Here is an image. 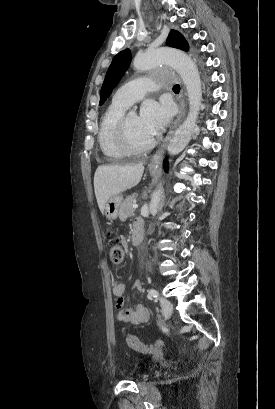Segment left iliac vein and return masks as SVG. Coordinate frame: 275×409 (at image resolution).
<instances>
[{
  "label": "left iliac vein",
  "mask_w": 275,
  "mask_h": 409,
  "mask_svg": "<svg viewBox=\"0 0 275 409\" xmlns=\"http://www.w3.org/2000/svg\"><path fill=\"white\" fill-rule=\"evenodd\" d=\"M159 301H160L163 313L166 316H170L173 312V306L171 302L167 298H164V297L159 298Z\"/></svg>",
  "instance_id": "4c4485c4"
}]
</instances>
